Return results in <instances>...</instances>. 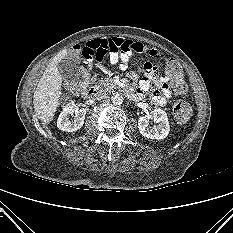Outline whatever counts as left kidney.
<instances>
[{
	"mask_svg": "<svg viewBox=\"0 0 233 233\" xmlns=\"http://www.w3.org/2000/svg\"><path fill=\"white\" fill-rule=\"evenodd\" d=\"M151 117L155 123L152 127L149 124V117L142 116L138 119V128L141 135L148 139L161 140L166 138L170 130L166 112L156 108L152 111Z\"/></svg>",
	"mask_w": 233,
	"mask_h": 233,
	"instance_id": "5707ae66",
	"label": "left kidney"
}]
</instances>
